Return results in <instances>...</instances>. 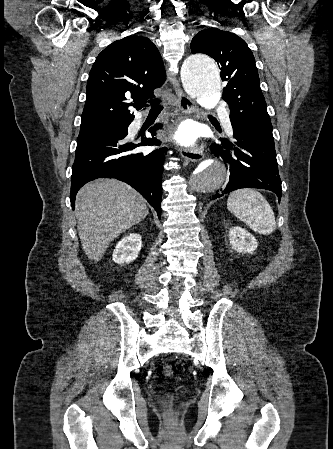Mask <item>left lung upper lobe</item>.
<instances>
[{
  "mask_svg": "<svg viewBox=\"0 0 333 449\" xmlns=\"http://www.w3.org/2000/svg\"><path fill=\"white\" fill-rule=\"evenodd\" d=\"M190 47L192 53H205L218 63L226 83L223 100L229 105L231 123L273 136L255 59L246 42L234 33L209 28L199 31Z\"/></svg>",
  "mask_w": 333,
  "mask_h": 449,
  "instance_id": "obj_1",
  "label": "left lung upper lobe"
}]
</instances>
